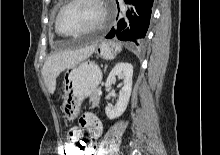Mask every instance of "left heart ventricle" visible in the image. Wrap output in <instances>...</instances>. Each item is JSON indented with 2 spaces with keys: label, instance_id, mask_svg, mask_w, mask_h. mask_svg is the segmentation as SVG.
<instances>
[{
  "label": "left heart ventricle",
  "instance_id": "1",
  "mask_svg": "<svg viewBox=\"0 0 220 155\" xmlns=\"http://www.w3.org/2000/svg\"><path fill=\"white\" fill-rule=\"evenodd\" d=\"M101 17V9L94 0H78L61 14L59 27L65 33L84 30L96 24Z\"/></svg>",
  "mask_w": 220,
  "mask_h": 155
}]
</instances>
